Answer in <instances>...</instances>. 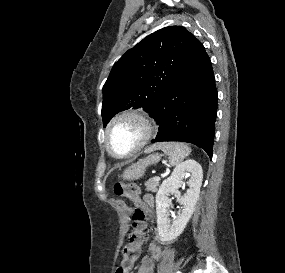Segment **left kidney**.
Listing matches in <instances>:
<instances>
[{"label": "left kidney", "instance_id": "5707ae66", "mask_svg": "<svg viewBox=\"0 0 285 273\" xmlns=\"http://www.w3.org/2000/svg\"><path fill=\"white\" fill-rule=\"evenodd\" d=\"M185 175L189 176L188 189L179 203L183 206L177 218L171 222L169 218L170 193H175L181 187ZM202 167L195 160L182 162L172 172L171 176L163 181L156 194V214L157 229L160 240L171 242L184 231L191 218L196 202L199 198L200 187L202 185Z\"/></svg>", "mask_w": 285, "mask_h": 273}]
</instances>
